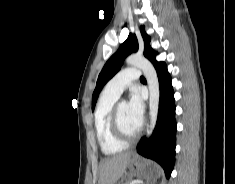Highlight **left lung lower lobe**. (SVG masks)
Listing matches in <instances>:
<instances>
[{
  "label": "left lung lower lobe",
  "instance_id": "left-lung-lower-lobe-1",
  "mask_svg": "<svg viewBox=\"0 0 235 184\" xmlns=\"http://www.w3.org/2000/svg\"><path fill=\"white\" fill-rule=\"evenodd\" d=\"M155 55L150 61L156 69L160 87L158 118L153 134L149 139H141L137 152L159 163L169 178L175 163L177 130L174 91L166 64L156 61Z\"/></svg>",
  "mask_w": 235,
  "mask_h": 184
}]
</instances>
